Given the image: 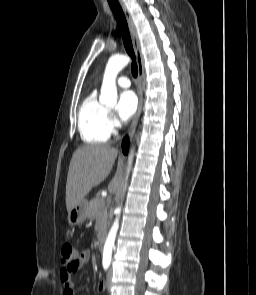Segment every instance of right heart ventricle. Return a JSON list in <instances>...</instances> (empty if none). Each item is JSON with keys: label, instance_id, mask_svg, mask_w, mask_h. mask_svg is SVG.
I'll use <instances>...</instances> for the list:
<instances>
[{"label": "right heart ventricle", "instance_id": "1", "mask_svg": "<svg viewBox=\"0 0 256 295\" xmlns=\"http://www.w3.org/2000/svg\"><path fill=\"white\" fill-rule=\"evenodd\" d=\"M78 128L82 140L89 144L106 142L111 135L108 109L98 100L96 91H92L80 106Z\"/></svg>", "mask_w": 256, "mask_h": 295}]
</instances>
